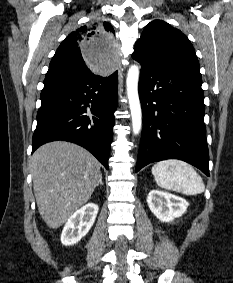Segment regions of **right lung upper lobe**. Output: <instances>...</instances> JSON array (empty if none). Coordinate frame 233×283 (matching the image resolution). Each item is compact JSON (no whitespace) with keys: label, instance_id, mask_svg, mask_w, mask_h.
I'll return each mask as SVG.
<instances>
[{"label":"right lung upper lobe","instance_id":"obj_1","mask_svg":"<svg viewBox=\"0 0 233 283\" xmlns=\"http://www.w3.org/2000/svg\"><path fill=\"white\" fill-rule=\"evenodd\" d=\"M108 22H95L71 32L52 58L46 78L91 75L97 70H114L118 38ZM97 59V60H88Z\"/></svg>","mask_w":233,"mask_h":283}]
</instances>
